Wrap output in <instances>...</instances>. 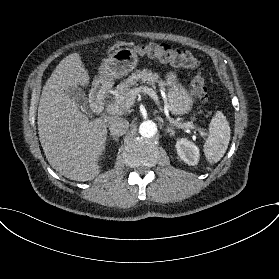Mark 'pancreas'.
Masks as SVG:
<instances>
[{
    "mask_svg": "<svg viewBox=\"0 0 279 279\" xmlns=\"http://www.w3.org/2000/svg\"><path fill=\"white\" fill-rule=\"evenodd\" d=\"M138 82L146 83L150 86H154L157 83L160 88L165 86V82L160 80L157 73H153L149 69L136 70L127 79L120 82L115 89L118 96H114L113 101L119 110L117 114L128 112L134 104L136 95L131 87L137 85Z\"/></svg>",
    "mask_w": 279,
    "mask_h": 279,
    "instance_id": "obj_1",
    "label": "pancreas"
}]
</instances>
